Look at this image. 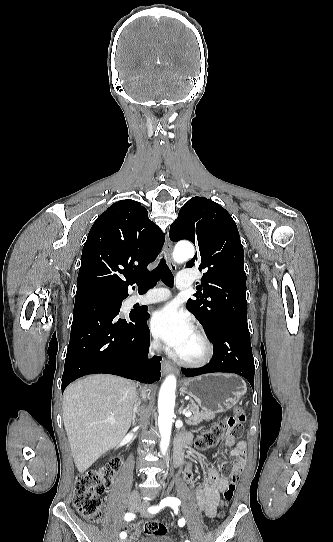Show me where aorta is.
Listing matches in <instances>:
<instances>
[{
  "mask_svg": "<svg viewBox=\"0 0 333 542\" xmlns=\"http://www.w3.org/2000/svg\"><path fill=\"white\" fill-rule=\"evenodd\" d=\"M178 262H186L187 258L194 256L191 244H177L175 250ZM176 376L170 374L165 378L159 392L158 400V428L161 436L160 450L166 454L170 442L172 420L175 406Z\"/></svg>",
  "mask_w": 333,
  "mask_h": 542,
  "instance_id": "762f6f07",
  "label": "aorta"
}]
</instances>
